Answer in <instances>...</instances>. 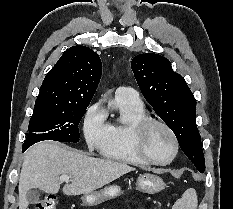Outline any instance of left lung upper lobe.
Wrapping results in <instances>:
<instances>
[{"label":"left lung upper lobe","mask_w":233,"mask_h":209,"mask_svg":"<svg viewBox=\"0 0 233 209\" xmlns=\"http://www.w3.org/2000/svg\"><path fill=\"white\" fill-rule=\"evenodd\" d=\"M131 68L145 99L174 132L185 155L203 173L205 162L196 126V102L184 78L172 70L167 58L154 53L134 57Z\"/></svg>","instance_id":"left-lung-upper-lobe-1"}]
</instances>
